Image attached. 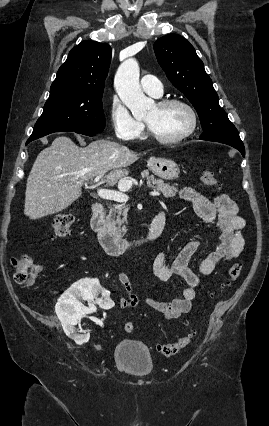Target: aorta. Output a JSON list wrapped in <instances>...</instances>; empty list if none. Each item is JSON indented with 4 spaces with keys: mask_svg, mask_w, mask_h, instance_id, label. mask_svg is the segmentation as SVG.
<instances>
[{
    "mask_svg": "<svg viewBox=\"0 0 269 426\" xmlns=\"http://www.w3.org/2000/svg\"><path fill=\"white\" fill-rule=\"evenodd\" d=\"M139 65L135 59H127L117 70L115 87L122 102L131 110L136 119L147 114L153 100L146 97L139 84Z\"/></svg>",
    "mask_w": 269,
    "mask_h": 426,
    "instance_id": "762f6f07",
    "label": "aorta"
}]
</instances>
